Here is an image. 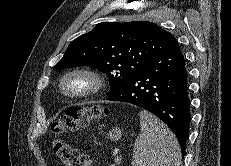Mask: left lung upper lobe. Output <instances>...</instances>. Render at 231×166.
Listing matches in <instances>:
<instances>
[{"mask_svg":"<svg viewBox=\"0 0 231 166\" xmlns=\"http://www.w3.org/2000/svg\"><path fill=\"white\" fill-rule=\"evenodd\" d=\"M173 35L148 21L105 22L73 40L56 69L90 65L109 76V95L150 63Z\"/></svg>","mask_w":231,"mask_h":166,"instance_id":"obj_1","label":"left lung upper lobe"}]
</instances>
